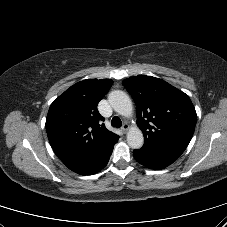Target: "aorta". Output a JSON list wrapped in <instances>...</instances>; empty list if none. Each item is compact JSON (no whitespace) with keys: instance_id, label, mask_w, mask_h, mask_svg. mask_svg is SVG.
<instances>
[{"instance_id":"1","label":"aorta","mask_w":227,"mask_h":227,"mask_svg":"<svg viewBox=\"0 0 227 227\" xmlns=\"http://www.w3.org/2000/svg\"><path fill=\"white\" fill-rule=\"evenodd\" d=\"M108 101L112 108L122 116L129 117L133 112V105L129 96L120 90L110 92ZM127 143L132 149H139L143 146L144 137L138 127H132L127 133Z\"/></svg>"}]
</instances>
